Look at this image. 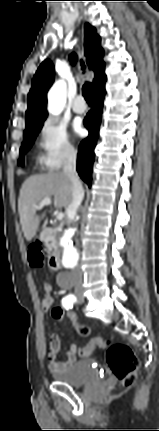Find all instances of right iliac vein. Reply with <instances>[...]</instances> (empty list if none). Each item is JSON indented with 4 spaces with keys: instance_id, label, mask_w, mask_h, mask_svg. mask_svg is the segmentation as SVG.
Segmentation results:
<instances>
[{
    "instance_id": "obj_1",
    "label": "right iliac vein",
    "mask_w": 159,
    "mask_h": 431,
    "mask_svg": "<svg viewBox=\"0 0 159 431\" xmlns=\"http://www.w3.org/2000/svg\"><path fill=\"white\" fill-rule=\"evenodd\" d=\"M76 296L81 300L82 299V294L81 292H76Z\"/></svg>"
}]
</instances>
